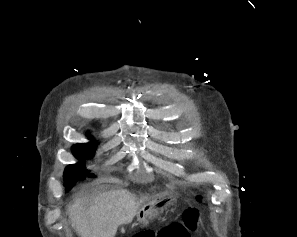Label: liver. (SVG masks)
<instances>
[{
  "label": "liver",
  "mask_w": 297,
  "mask_h": 237,
  "mask_svg": "<svg viewBox=\"0 0 297 237\" xmlns=\"http://www.w3.org/2000/svg\"><path fill=\"white\" fill-rule=\"evenodd\" d=\"M142 201L127 190L83 197L69 205L67 213L80 237H115L118 226L129 224Z\"/></svg>",
  "instance_id": "1"
}]
</instances>
